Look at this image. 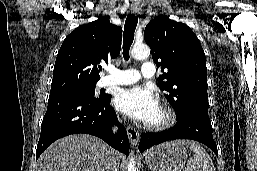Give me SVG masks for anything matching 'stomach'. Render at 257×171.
I'll return each mask as SVG.
<instances>
[{"instance_id": "0dacf381", "label": "stomach", "mask_w": 257, "mask_h": 171, "mask_svg": "<svg viewBox=\"0 0 257 171\" xmlns=\"http://www.w3.org/2000/svg\"><path fill=\"white\" fill-rule=\"evenodd\" d=\"M188 154L183 146L163 143L150 149L145 162L151 171H182Z\"/></svg>"}]
</instances>
